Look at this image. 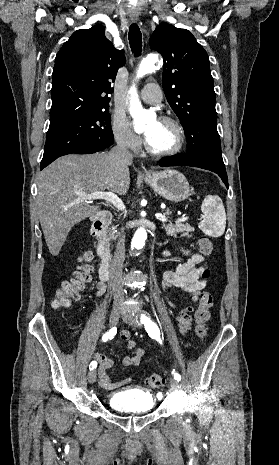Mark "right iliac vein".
Wrapping results in <instances>:
<instances>
[{
    "mask_svg": "<svg viewBox=\"0 0 279 465\" xmlns=\"http://www.w3.org/2000/svg\"><path fill=\"white\" fill-rule=\"evenodd\" d=\"M121 311L119 308H114L110 314L109 317V325L110 327H114L117 325L119 318H120ZM97 378V372L95 369H92L88 373V382L90 384H93L96 381Z\"/></svg>",
    "mask_w": 279,
    "mask_h": 465,
    "instance_id": "1",
    "label": "right iliac vein"
}]
</instances>
